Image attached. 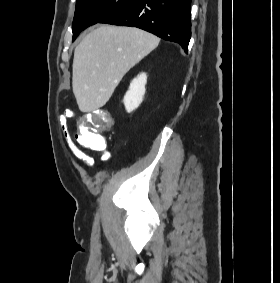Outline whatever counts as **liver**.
Segmentation results:
<instances>
[{"instance_id": "6515ba94", "label": "liver", "mask_w": 280, "mask_h": 283, "mask_svg": "<svg viewBox=\"0 0 280 283\" xmlns=\"http://www.w3.org/2000/svg\"><path fill=\"white\" fill-rule=\"evenodd\" d=\"M159 38L134 27L101 25L74 51L72 88L82 112L103 107L123 76L154 50Z\"/></svg>"}]
</instances>
